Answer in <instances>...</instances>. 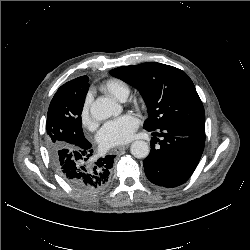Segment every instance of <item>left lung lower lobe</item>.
Listing matches in <instances>:
<instances>
[{
	"label": "left lung lower lobe",
	"mask_w": 250,
	"mask_h": 250,
	"mask_svg": "<svg viewBox=\"0 0 250 250\" xmlns=\"http://www.w3.org/2000/svg\"><path fill=\"white\" fill-rule=\"evenodd\" d=\"M160 147L144 160L145 175L158 186L173 188L185 183L196 169L205 144V122L176 124L155 130Z\"/></svg>",
	"instance_id": "left-lung-lower-lobe-1"
}]
</instances>
